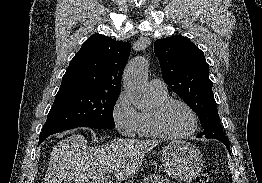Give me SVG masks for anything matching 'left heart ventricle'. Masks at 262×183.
<instances>
[{
  "label": "left heart ventricle",
  "mask_w": 262,
  "mask_h": 183,
  "mask_svg": "<svg viewBox=\"0 0 262 183\" xmlns=\"http://www.w3.org/2000/svg\"><path fill=\"white\" fill-rule=\"evenodd\" d=\"M163 126L171 134H183L193 127V117L184 106L174 104L165 112Z\"/></svg>",
  "instance_id": "obj_1"
}]
</instances>
